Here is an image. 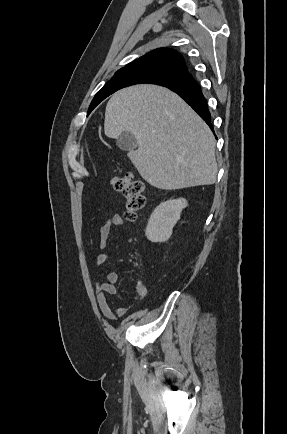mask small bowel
I'll return each mask as SVG.
<instances>
[{
    "instance_id": "c3829d8e",
    "label": "small bowel",
    "mask_w": 287,
    "mask_h": 434,
    "mask_svg": "<svg viewBox=\"0 0 287 434\" xmlns=\"http://www.w3.org/2000/svg\"><path fill=\"white\" fill-rule=\"evenodd\" d=\"M125 225L123 217L119 214H114L111 217L106 218L99 229V247L104 250L107 245V241L114 228H122ZM109 258V253L102 251L96 259L98 266H103ZM120 276L115 271H109L106 273V280L96 279L95 295L98 303V307L105 319L109 321H115L119 317H123L127 314L128 308L125 306H118L113 309L107 299V295L116 294L115 284L119 282ZM147 289L145 284L138 280L135 282L134 292L131 298L132 302H138L145 298Z\"/></svg>"
}]
</instances>
